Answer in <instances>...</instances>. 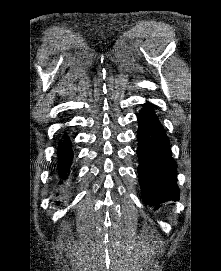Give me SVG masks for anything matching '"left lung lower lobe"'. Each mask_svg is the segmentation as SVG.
<instances>
[{
  "label": "left lung lower lobe",
  "instance_id": "left-lung-lower-lobe-1",
  "mask_svg": "<svg viewBox=\"0 0 221 271\" xmlns=\"http://www.w3.org/2000/svg\"><path fill=\"white\" fill-rule=\"evenodd\" d=\"M139 159L138 175L142 199L150 206L169 200H179L176 184V163L172 158L169 139L149 103L137 116Z\"/></svg>",
  "mask_w": 221,
  "mask_h": 271
}]
</instances>
